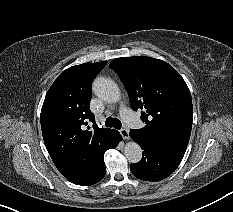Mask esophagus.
Instances as JSON below:
<instances>
[{
  "instance_id": "1",
  "label": "esophagus",
  "mask_w": 233,
  "mask_h": 212,
  "mask_svg": "<svg viewBox=\"0 0 233 212\" xmlns=\"http://www.w3.org/2000/svg\"><path fill=\"white\" fill-rule=\"evenodd\" d=\"M120 134L122 135L123 139L125 140H129L130 136H129V131L127 129H121L120 130Z\"/></svg>"
}]
</instances>
